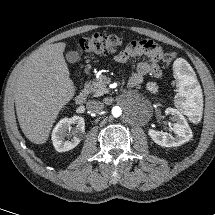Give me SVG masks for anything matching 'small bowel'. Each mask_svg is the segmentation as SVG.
Returning a JSON list of instances; mask_svg holds the SVG:
<instances>
[{"instance_id":"small-bowel-1","label":"small bowel","mask_w":215,"mask_h":215,"mask_svg":"<svg viewBox=\"0 0 215 215\" xmlns=\"http://www.w3.org/2000/svg\"><path fill=\"white\" fill-rule=\"evenodd\" d=\"M140 56L148 57L149 62H140L137 65L136 71L129 80V85L132 87L141 84L146 75H151L154 78L162 76V70L159 65L162 59V49L152 40L132 41L125 50L115 55L114 60L123 64L131 58Z\"/></svg>"}]
</instances>
